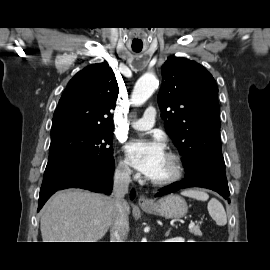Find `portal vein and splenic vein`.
<instances>
[{"instance_id":"1","label":"portal vein and splenic vein","mask_w":270,"mask_h":270,"mask_svg":"<svg viewBox=\"0 0 270 270\" xmlns=\"http://www.w3.org/2000/svg\"><path fill=\"white\" fill-rule=\"evenodd\" d=\"M194 226H195L194 222L191 221L190 224H189V228H192V227H194Z\"/></svg>"}]
</instances>
